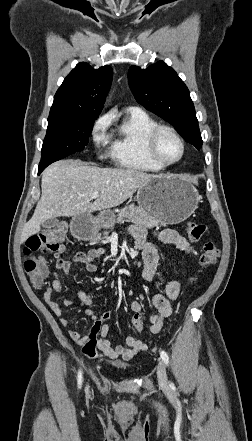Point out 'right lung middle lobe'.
Listing matches in <instances>:
<instances>
[{
	"label": "right lung middle lobe",
	"mask_w": 252,
	"mask_h": 441,
	"mask_svg": "<svg viewBox=\"0 0 252 441\" xmlns=\"http://www.w3.org/2000/svg\"><path fill=\"white\" fill-rule=\"evenodd\" d=\"M96 118L88 115L50 113L39 166L47 167L52 162L82 151L88 143Z\"/></svg>",
	"instance_id": "1"
}]
</instances>
